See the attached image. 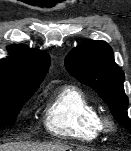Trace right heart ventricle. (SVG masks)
<instances>
[{"label": "right heart ventricle", "mask_w": 131, "mask_h": 151, "mask_svg": "<svg viewBox=\"0 0 131 151\" xmlns=\"http://www.w3.org/2000/svg\"><path fill=\"white\" fill-rule=\"evenodd\" d=\"M45 126L58 137L84 141H94L104 132L97 107L75 86L54 94L45 111Z\"/></svg>", "instance_id": "obj_1"}]
</instances>
